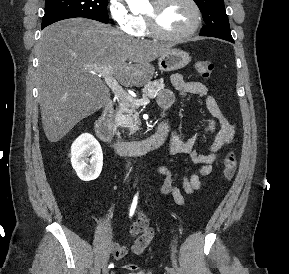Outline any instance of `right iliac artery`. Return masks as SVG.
<instances>
[{"label":"right iliac artery","mask_w":289,"mask_h":274,"mask_svg":"<svg viewBox=\"0 0 289 274\" xmlns=\"http://www.w3.org/2000/svg\"><path fill=\"white\" fill-rule=\"evenodd\" d=\"M137 200H138V194L135 195L134 199H133V202L131 204V208H130V217L133 216L134 212H135V209H136V206H137ZM114 267V264L111 263L108 268H113Z\"/></svg>","instance_id":"right-iliac-artery-1"}]
</instances>
